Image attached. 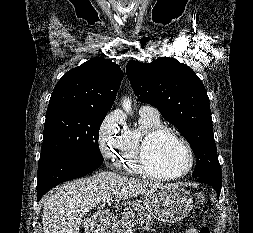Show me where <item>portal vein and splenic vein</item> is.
<instances>
[{
	"instance_id": "18ae733b",
	"label": "portal vein and splenic vein",
	"mask_w": 253,
	"mask_h": 233,
	"mask_svg": "<svg viewBox=\"0 0 253 233\" xmlns=\"http://www.w3.org/2000/svg\"><path fill=\"white\" fill-rule=\"evenodd\" d=\"M110 200H111L110 196H107L106 198H104L102 200L103 205L108 204L110 202Z\"/></svg>"
}]
</instances>
